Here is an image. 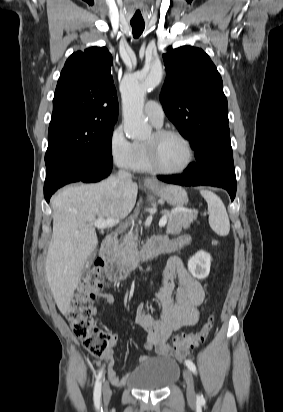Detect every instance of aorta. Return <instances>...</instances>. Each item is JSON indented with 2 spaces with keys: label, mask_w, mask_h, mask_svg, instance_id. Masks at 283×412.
Listing matches in <instances>:
<instances>
[{
  "label": "aorta",
  "mask_w": 283,
  "mask_h": 412,
  "mask_svg": "<svg viewBox=\"0 0 283 412\" xmlns=\"http://www.w3.org/2000/svg\"><path fill=\"white\" fill-rule=\"evenodd\" d=\"M162 80L161 71H142L125 76L121 84L124 132L131 139L147 138L151 134L144 114V96Z\"/></svg>",
  "instance_id": "obj_1"
}]
</instances>
